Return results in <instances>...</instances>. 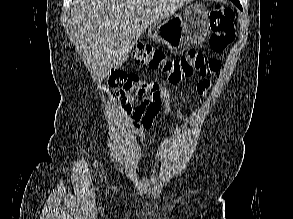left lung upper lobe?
Here are the masks:
<instances>
[{
    "mask_svg": "<svg viewBox=\"0 0 293 219\" xmlns=\"http://www.w3.org/2000/svg\"><path fill=\"white\" fill-rule=\"evenodd\" d=\"M235 5L240 4L239 0H231Z\"/></svg>",
    "mask_w": 293,
    "mask_h": 219,
    "instance_id": "left-lung-upper-lobe-1",
    "label": "left lung upper lobe"
}]
</instances>
